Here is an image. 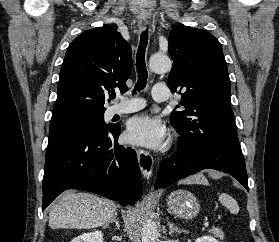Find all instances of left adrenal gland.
Segmentation results:
<instances>
[{
    "mask_svg": "<svg viewBox=\"0 0 279 242\" xmlns=\"http://www.w3.org/2000/svg\"><path fill=\"white\" fill-rule=\"evenodd\" d=\"M168 226H169V235H172L173 233H182V232H184V233H188V231L187 230H185V229H179L177 226H175L174 225V223H172V222H169L168 223Z\"/></svg>",
    "mask_w": 279,
    "mask_h": 242,
    "instance_id": "1",
    "label": "left adrenal gland"
}]
</instances>
